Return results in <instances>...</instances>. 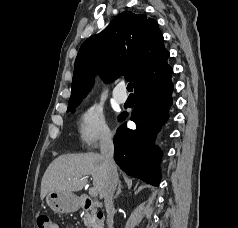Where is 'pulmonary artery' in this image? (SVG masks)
Returning a JSON list of instances; mask_svg holds the SVG:
<instances>
[{
  "instance_id": "1",
  "label": "pulmonary artery",
  "mask_w": 238,
  "mask_h": 228,
  "mask_svg": "<svg viewBox=\"0 0 238 228\" xmlns=\"http://www.w3.org/2000/svg\"><path fill=\"white\" fill-rule=\"evenodd\" d=\"M113 97L114 99L123 104L127 100V94L125 93V85L123 83H119L113 90Z\"/></svg>"
}]
</instances>
